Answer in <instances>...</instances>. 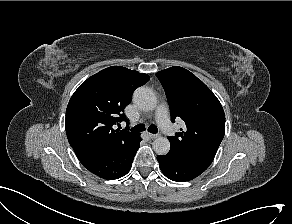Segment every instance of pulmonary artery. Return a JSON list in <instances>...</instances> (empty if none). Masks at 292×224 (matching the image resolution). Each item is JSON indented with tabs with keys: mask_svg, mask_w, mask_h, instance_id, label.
Returning a JSON list of instances; mask_svg holds the SVG:
<instances>
[{
	"mask_svg": "<svg viewBox=\"0 0 292 224\" xmlns=\"http://www.w3.org/2000/svg\"><path fill=\"white\" fill-rule=\"evenodd\" d=\"M156 120L162 131L168 136H173L175 134L176 129L169 120V112L166 105L161 104L158 106L156 110Z\"/></svg>",
	"mask_w": 292,
	"mask_h": 224,
	"instance_id": "e3ab8cb5",
	"label": "pulmonary artery"
}]
</instances>
